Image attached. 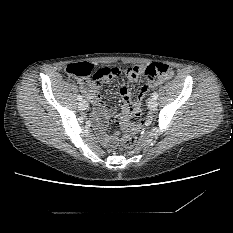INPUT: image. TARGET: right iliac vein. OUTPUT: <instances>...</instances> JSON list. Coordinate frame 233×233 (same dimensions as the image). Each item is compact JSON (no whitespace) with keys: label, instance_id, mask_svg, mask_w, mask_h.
Instances as JSON below:
<instances>
[{"label":"right iliac vein","instance_id":"63e3f726","mask_svg":"<svg viewBox=\"0 0 233 233\" xmlns=\"http://www.w3.org/2000/svg\"><path fill=\"white\" fill-rule=\"evenodd\" d=\"M79 108H80L81 110H86V109L88 108V103H87V101L82 100V101L79 103Z\"/></svg>","mask_w":233,"mask_h":233}]
</instances>
